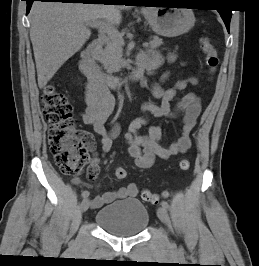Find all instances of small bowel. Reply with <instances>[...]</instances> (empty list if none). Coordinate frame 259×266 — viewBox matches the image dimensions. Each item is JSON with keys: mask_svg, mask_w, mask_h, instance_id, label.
<instances>
[{"mask_svg": "<svg viewBox=\"0 0 259 266\" xmlns=\"http://www.w3.org/2000/svg\"><path fill=\"white\" fill-rule=\"evenodd\" d=\"M139 58L146 61V70L153 73L162 63L163 58L157 54L140 55ZM173 55L168 56L172 61ZM165 77V76H164ZM153 94L161 99L159 106L146 103L142 107L143 116L134 120L124 138L128 145V153L136 166L140 168H150L155 159H168L173 155L185 153L191 146V132L196 126L197 119L201 113L202 106L199 97L194 93L186 94L176 104L171 107L170 101L175 97L176 92L185 89L188 85L198 84L196 77H190L184 80H178L174 86L165 88L159 83L149 84L144 82ZM115 101L111 93L105 87H99L91 81L87 84L86 90V108L81 113V119L85 124L92 125L95 132L102 136V152L107 153L112 146V139L117 135L119 127L115 124L108 129L106 122L112 114ZM181 118L183 125L178 139L168 146L161 144L162 127L161 124H150L153 119L162 121L165 119ZM143 126H149L148 132L144 135L138 133ZM99 172L98 158L95 157L88 168V178L94 181ZM74 184H79L78 177L73 178ZM138 193L136 184L129 183L125 187H120L115 191H107L100 196L92 199L90 205L92 208H99L105 204L118 199L134 197Z\"/></svg>", "mask_w": 259, "mask_h": 266, "instance_id": "c3829d8e", "label": "small bowel"}]
</instances>
